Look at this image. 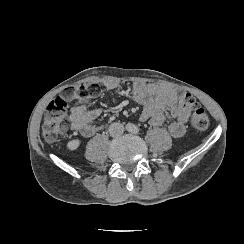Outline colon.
Instances as JSON below:
<instances>
[{
	"instance_id": "1",
	"label": "colon",
	"mask_w": 244,
	"mask_h": 244,
	"mask_svg": "<svg viewBox=\"0 0 244 244\" xmlns=\"http://www.w3.org/2000/svg\"><path fill=\"white\" fill-rule=\"evenodd\" d=\"M103 86L101 84L93 85H72L63 91L62 96L55 97L47 106L42 118V135L49 141L56 140L68 129V121L65 114L68 110V101L66 99L79 95L81 98H97L102 94ZM183 104L191 107L192 114L190 121L192 126L200 131L209 127V116L206 110L201 107L194 97L185 95Z\"/></svg>"
}]
</instances>
